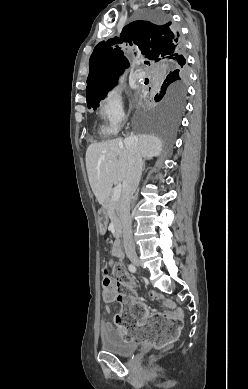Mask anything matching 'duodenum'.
I'll return each instance as SVG.
<instances>
[{
  "label": "duodenum",
  "mask_w": 248,
  "mask_h": 389,
  "mask_svg": "<svg viewBox=\"0 0 248 389\" xmlns=\"http://www.w3.org/2000/svg\"><path fill=\"white\" fill-rule=\"evenodd\" d=\"M114 254L119 259H122L124 256L122 246H121L120 236H118V239L116 240V242L114 244Z\"/></svg>",
  "instance_id": "obj_1"
}]
</instances>
